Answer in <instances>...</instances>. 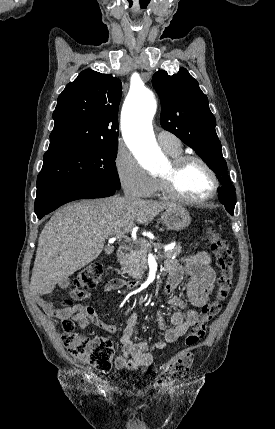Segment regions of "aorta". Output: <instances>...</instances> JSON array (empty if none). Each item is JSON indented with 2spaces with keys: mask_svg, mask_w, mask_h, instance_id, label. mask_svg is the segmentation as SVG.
I'll return each instance as SVG.
<instances>
[{
  "mask_svg": "<svg viewBox=\"0 0 275 429\" xmlns=\"http://www.w3.org/2000/svg\"><path fill=\"white\" fill-rule=\"evenodd\" d=\"M156 110L153 93L139 86L131 90L121 114L123 138L141 165L150 172L158 171L163 159L153 132Z\"/></svg>",
  "mask_w": 275,
  "mask_h": 429,
  "instance_id": "1",
  "label": "aorta"
}]
</instances>
